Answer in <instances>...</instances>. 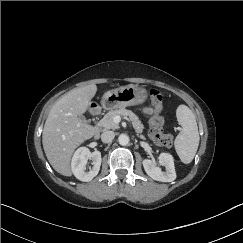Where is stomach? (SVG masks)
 I'll return each instance as SVG.
<instances>
[{
	"label": "stomach",
	"instance_id": "stomach-1",
	"mask_svg": "<svg viewBox=\"0 0 243 243\" xmlns=\"http://www.w3.org/2000/svg\"><path fill=\"white\" fill-rule=\"evenodd\" d=\"M146 99L147 92L145 89L130 84L106 92L101 103L106 109H115L142 104Z\"/></svg>",
	"mask_w": 243,
	"mask_h": 243
}]
</instances>
